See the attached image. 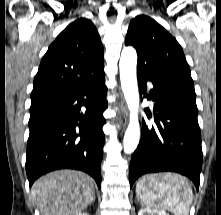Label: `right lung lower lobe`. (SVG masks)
<instances>
[{"instance_id":"obj_1","label":"right lung lower lobe","mask_w":221,"mask_h":215,"mask_svg":"<svg viewBox=\"0 0 221 215\" xmlns=\"http://www.w3.org/2000/svg\"><path fill=\"white\" fill-rule=\"evenodd\" d=\"M104 75L97 81L30 110L26 173L30 187L57 169L82 170L101 185L107 108ZM81 107L86 108L80 113Z\"/></svg>"}]
</instances>
